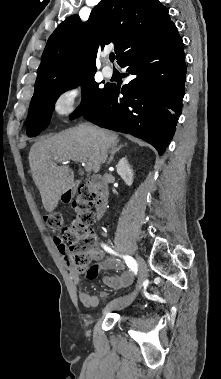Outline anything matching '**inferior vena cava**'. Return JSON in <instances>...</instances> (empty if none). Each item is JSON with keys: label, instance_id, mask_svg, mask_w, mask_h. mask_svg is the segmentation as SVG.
<instances>
[{"label": "inferior vena cava", "instance_id": "obj_1", "mask_svg": "<svg viewBox=\"0 0 221 379\" xmlns=\"http://www.w3.org/2000/svg\"><path fill=\"white\" fill-rule=\"evenodd\" d=\"M81 127H84V128H86V129H88L89 131H91V132H94V133H98L96 130H94L91 126H87V125H81ZM106 158H107V150H103L102 151V158H101V161H102V163H104L105 161H106Z\"/></svg>", "mask_w": 221, "mask_h": 379}]
</instances>
